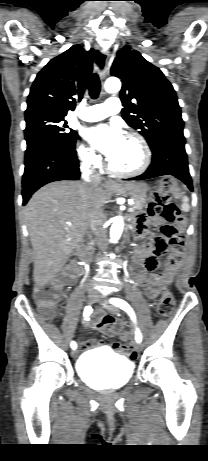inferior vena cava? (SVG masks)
<instances>
[{"label":"inferior vena cava","instance_id":"602c4592","mask_svg":"<svg viewBox=\"0 0 208 461\" xmlns=\"http://www.w3.org/2000/svg\"><path fill=\"white\" fill-rule=\"evenodd\" d=\"M89 168L90 162H83L81 167L82 177L90 189H95L99 186L101 179L98 174H93ZM104 221L105 218L102 210H95L89 221V225L95 234L100 250L106 249V230L103 227Z\"/></svg>","mask_w":208,"mask_h":461}]
</instances>
